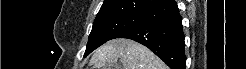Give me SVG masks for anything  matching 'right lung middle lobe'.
Returning <instances> with one entry per match:
<instances>
[{
  "label": "right lung middle lobe",
  "instance_id": "obj_1",
  "mask_svg": "<svg viewBox=\"0 0 246 69\" xmlns=\"http://www.w3.org/2000/svg\"><path fill=\"white\" fill-rule=\"evenodd\" d=\"M142 20L141 14H123L95 20L84 57L105 42L117 38Z\"/></svg>",
  "mask_w": 246,
  "mask_h": 69
}]
</instances>
